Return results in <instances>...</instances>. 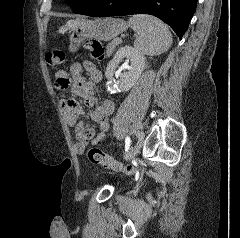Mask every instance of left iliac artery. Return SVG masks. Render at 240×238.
Returning a JSON list of instances; mask_svg holds the SVG:
<instances>
[{
    "label": "left iliac artery",
    "instance_id": "left-iliac-artery-1",
    "mask_svg": "<svg viewBox=\"0 0 240 238\" xmlns=\"http://www.w3.org/2000/svg\"><path fill=\"white\" fill-rule=\"evenodd\" d=\"M138 136H139V133L136 132L135 130L133 131V134H132V140H133V143L130 145V147H128L125 151H124V154L125 155H128L132 150H135L137 146H140L141 145V142L138 141Z\"/></svg>",
    "mask_w": 240,
    "mask_h": 238
}]
</instances>
